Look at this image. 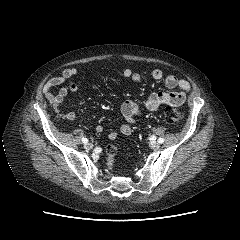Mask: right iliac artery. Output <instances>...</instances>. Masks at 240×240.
<instances>
[{"label":"right iliac artery","instance_id":"obj_1","mask_svg":"<svg viewBox=\"0 0 240 240\" xmlns=\"http://www.w3.org/2000/svg\"><path fill=\"white\" fill-rule=\"evenodd\" d=\"M82 142L86 144V143H88V139L87 138H82Z\"/></svg>","mask_w":240,"mask_h":240}]
</instances>
